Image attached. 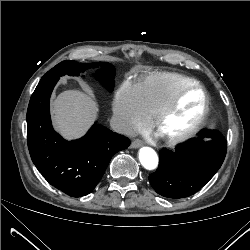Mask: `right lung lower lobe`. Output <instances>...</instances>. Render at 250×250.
<instances>
[{
	"label": "right lung lower lobe",
	"instance_id": "1",
	"mask_svg": "<svg viewBox=\"0 0 250 250\" xmlns=\"http://www.w3.org/2000/svg\"><path fill=\"white\" fill-rule=\"evenodd\" d=\"M59 78L40 81L27 110L28 148L45 179L72 197L89 194L102 178L112 156L126 149L128 138L94 124L81 139L64 140L51 124L49 99Z\"/></svg>",
	"mask_w": 250,
	"mask_h": 250
}]
</instances>
